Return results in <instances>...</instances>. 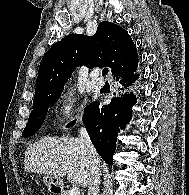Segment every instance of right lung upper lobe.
I'll return each mask as SVG.
<instances>
[{
	"label": "right lung upper lobe",
	"mask_w": 189,
	"mask_h": 195,
	"mask_svg": "<svg viewBox=\"0 0 189 195\" xmlns=\"http://www.w3.org/2000/svg\"><path fill=\"white\" fill-rule=\"evenodd\" d=\"M110 67L117 78L138 66L136 46L127 31L103 21L93 36L70 34L44 55L38 71L33 103L63 91L77 66Z\"/></svg>",
	"instance_id": "right-lung-upper-lobe-1"
}]
</instances>
